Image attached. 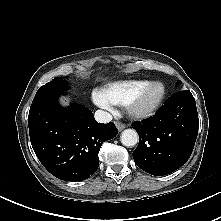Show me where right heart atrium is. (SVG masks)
Returning a JSON list of instances; mask_svg holds the SVG:
<instances>
[{
  "label": "right heart atrium",
  "mask_w": 221,
  "mask_h": 221,
  "mask_svg": "<svg viewBox=\"0 0 221 221\" xmlns=\"http://www.w3.org/2000/svg\"><path fill=\"white\" fill-rule=\"evenodd\" d=\"M92 100L100 108H103L110 113L114 112L113 104L103 95L101 90H94L92 92Z\"/></svg>",
  "instance_id": "right-heart-atrium-1"
}]
</instances>
